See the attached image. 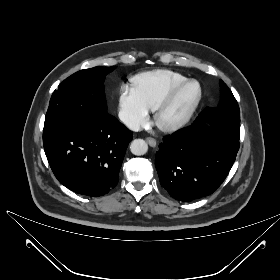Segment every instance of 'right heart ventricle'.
<instances>
[{
    "instance_id": "obj_1",
    "label": "right heart ventricle",
    "mask_w": 280,
    "mask_h": 280,
    "mask_svg": "<svg viewBox=\"0 0 280 280\" xmlns=\"http://www.w3.org/2000/svg\"><path fill=\"white\" fill-rule=\"evenodd\" d=\"M188 78L178 72L158 69L138 73L131 78L132 87L148 110H153L166 93Z\"/></svg>"
}]
</instances>
